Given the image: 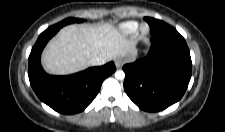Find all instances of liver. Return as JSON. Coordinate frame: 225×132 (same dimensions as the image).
Segmentation results:
<instances>
[{
    "label": "liver",
    "mask_w": 225,
    "mask_h": 132,
    "mask_svg": "<svg viewBox=\"0 0 225 132\" xmlns=\"http://www.w3.org/2000/svg\"><path fill=\"white\" fill-rule=\"evenodd\" d=\"M134 55V43L113 24H72L49 41L41 60L49 74L67 75L86 69L96 57L131 59Z\"/></svg>",
    "instance_id": "liver-1"
}]
</instances>
